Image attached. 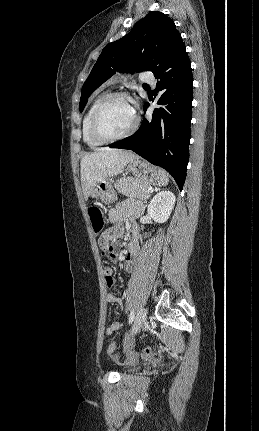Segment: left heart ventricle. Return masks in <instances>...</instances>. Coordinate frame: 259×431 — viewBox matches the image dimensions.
<instances>
[{"label":"left heart ventricle","instance_id":"left-heart-ventricle-1","mask_svg":"<svg viewBox=\"0 0 259 431\" xmlns=\"http://www.w3.org/2000/svg\"><path fill=\"white\" fill-rule=\"evenodd\" d=\"M134 119L132 103L126 99H118L104 110L100 119V129L107 136L119 135L131 128Z\"/></svg>","mask_w":259,"mask_h":431}]
</instances>
